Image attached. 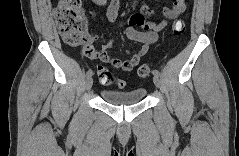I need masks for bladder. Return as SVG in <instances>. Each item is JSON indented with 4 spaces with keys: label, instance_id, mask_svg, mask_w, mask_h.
Returning a JSON list of instances; mask_svg holds the SVG:
<instances>
[{
    "label": "bladder",
    "instance_id": "obj_1",
    "mask_svg": "<svg viewBox=\"0 0 239 156\" xmlns=\"http://www.w3.org/2000/svg\"><path fill=\"white\" fill-rule=\"evenodd\" d=\"M144 87H137L128 91L102 90V99L113 105H132L141 102L146 96Z\"/></svg>",
    "mask_w": 239,
    "mask_h": 156
}]
</instances>
